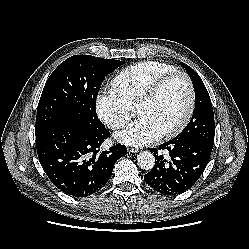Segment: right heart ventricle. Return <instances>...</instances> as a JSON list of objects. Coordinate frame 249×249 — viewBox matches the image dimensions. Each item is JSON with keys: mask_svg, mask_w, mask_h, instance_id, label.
<instances>
[{"mask_svg": "<svg viewBox=\"0 0 249 249\" xmlns=\"http://www.w3.org/2000/svg\"><path fill=\"white\" fill-rule=\"evenodd\" d=\"M174 70L175 66L161 61L138 62L118 72L112 87L123 100L134 106L156 79Z\"/></svg>", "mask_w": 249, "mask_h": 249, "instance_id": "right-heart-ventricle-1", "label": "right heart ventricle"}]
</instances>
